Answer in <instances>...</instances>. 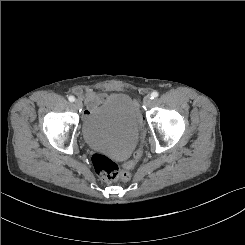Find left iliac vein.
<instances>
[{"label":"left iliac vein","instance_id":"left-iliac-vein-1","mask_svg":"<svg viewBox=\"0 0 245 245\" xmlns=\"http://www.w3.org/2000/svg\"><path fill=\"white\" fill-rule=\"evenodd\" d=\"M143 104L146 108H148L151 104V97L149 95L144 97Z\"/></svg>","mask_w":245,"mask_h":245}]
</instances>
